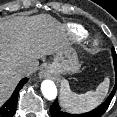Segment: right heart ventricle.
<instances>
[{
  "label": "right heart ventricle",
  "instance_id": "1",
  "mask_svg": "<svg viewBox=\"0 0 117 117\" xmlns=\"http://www.w3.org/2000/svg\"><path fill=\"white\" fill-rule=\"evenodd\" d=\"M70 32L77 40H82L88 36V32L80 25H71Z\"/></svg>",
  "mask_w": 117,
  "mask_h": 117
}]
</instances>
